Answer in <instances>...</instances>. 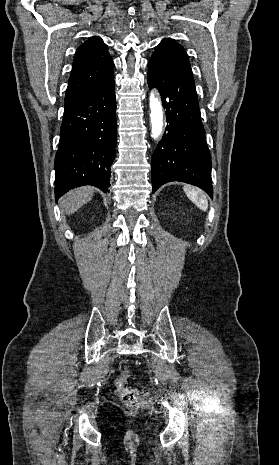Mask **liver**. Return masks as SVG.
<instances>
[{
  "instance_id": "liver-1",
  "label": "liver",
  "mask_w": 279,
  "mask_h": 465,
  "mask_svg": "<svg viewBox=\"0 0 279 465\" xmlns=\"http://www.w3.org/2000/svg\"><path fill=\"white\" fill-rule=\"evenodd\" d=\"M94 194L93 187H81L70 191L64 197H62L60 203L63 210H65L67 215L75 213L79 210L84 204L89 202Z\"/></svg>"
}]
</instances>
